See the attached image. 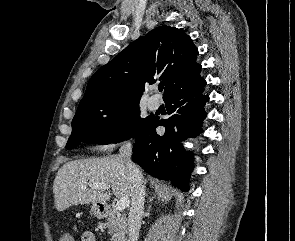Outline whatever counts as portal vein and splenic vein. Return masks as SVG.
<instances>
[{"label":"portal vein and splenic vein","instance_id":"1","mask_svg":"<svg viewBox=\"0 0 295 241\" xmlns=\"http://www.w3.org/2000/svg\"><path fill=\"white\" fill-rule=\"evenodd\" d=\"M82 188H86L85 186L82 187ZM93 188H97V189H101V190H109L110 189V186L108 185H105V184H95L93 185ZM129 203H130V200L128 197H122L119 199V201L117 202L116 204V209L118 211H122L124 210L126 207L129 206Z\"/></svg>","mask_w":295,"mask_h":241}]
</instances>
